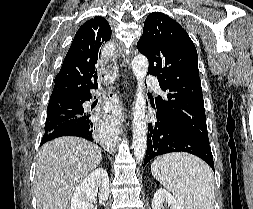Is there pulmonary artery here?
<instances>
[{
    "mask_svg": "<svg viewBox=\"0 0 253 209\" xmlns=\"http://www.w3.org/2000/svg\"><path fill=\"white\" fill-rule=\"evenodd\" d=\"M146 83H147L148 87L151 88L152 90H155L156 92L163 94L160 90L158 81L155 77H148L146 79Z\"/></svg>",
    "mask_w": 253,
    "mask_h": 209,
    "instance_id": "e3ab8cb5",
    "label": "pulmonary artery"
}]
</instances>
